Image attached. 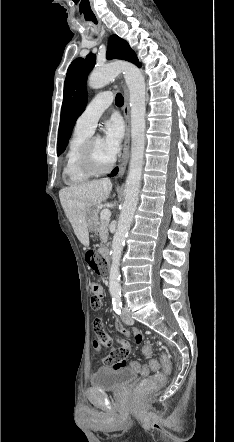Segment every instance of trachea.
<instances>
[{"instance_id": "trachea-1", "label": "trachea", "mask_w": 234, "mask_h": 442, "mask_svg": "<svg viewBox=\"0 0 234 442\" xmlns=\"http://www.w3.org/2000/svg\"><path fill=\"white\" fill-rule=\"evenodd\" d=\"M115 103H116L117 106H122L123 105L124 99H123V96L120 93H118L116 95Z\"/></svg>"}]
</instances>
